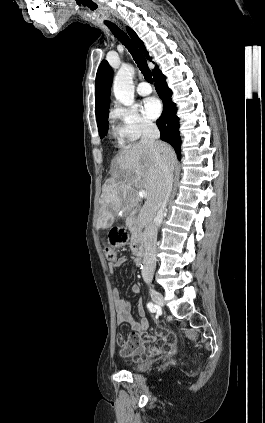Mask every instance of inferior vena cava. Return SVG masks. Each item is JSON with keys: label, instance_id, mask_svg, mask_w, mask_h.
Segmentation results:
<instances>
[{"label": "inferior vena cava", "instance_id": "inferior-vena-cava-1", "mask_svg": "<svg viewBox=\"0 0 265 423\" xmlns=\"http://www.w3.org/2000/svg\"><path fill=\"white\" fill-rule=\"evenodd\" d=\"M160 131L158 127L147 121L142 127L140 143L147 145L154 150L155 158L160 162L163 172L164 182L161 188L160 202L153 221L145 227L143 232L144 258L142 267V277L144 280H151L156 267V245H157V225L163 217L164 208L168 202L173 183V165L165 155L166 147L159 141Z\"/></svg>", "mask_w": 265, "mask_h": 423}]
</instances>
